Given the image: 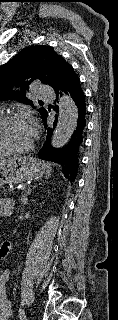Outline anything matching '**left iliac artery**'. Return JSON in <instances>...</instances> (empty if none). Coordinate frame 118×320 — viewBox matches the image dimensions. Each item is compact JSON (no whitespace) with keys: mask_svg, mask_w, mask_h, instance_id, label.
Wrapping results in <instances>:
<instances>
[{"mask_svg":"<svg viewBox=\"0 0 118 320\" xmlns=\"http://www.w3.org/2000/svg\"><path fill=\"white\" fill-rule=\"evenodd\" d=\"M19 317H20V320H26V314L23 309L19 310Z\"/></svg>","mask_w":118,"mask_h":320,"instance_id":"left-iliac-artery-1","label":"left iliac artery"}]
</instances>
